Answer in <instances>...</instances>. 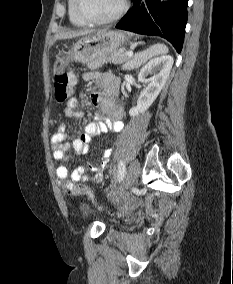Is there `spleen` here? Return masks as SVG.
<instances>
[{
    "label": "spleen",
    "instance_id": "1",
    "mask_svg": "<svg viewBox=\"0 0 233 284\" xmlns=\"http://www.w3.org/2000/svg\"><path fill=\"white\" fill-rule=\"evenodd\" d=\"M167 52H168V48L164 44L158 43L150 47L147 51L136 54L135 57H136V60L140 62L141 64L142 62L146 61L147 59L155 55L164 54Z\"/></svg>",
    "mask_w": 233,
    "mask_h": 284
}]
</instances>
